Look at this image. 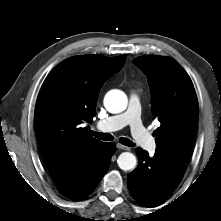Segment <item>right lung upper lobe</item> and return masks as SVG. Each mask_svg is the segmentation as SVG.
<instances>
[{
	"instance_id": "cb5924a9",
	"label": "right lung upper lobe",
	"mask_w": 221,
	"mask_h": 221,
	"mask_svg": "<svg viewBox=\"0 0 221 221\" xmlns=\"http://www.w3.org/2000/svg\"><path fill=\"white\" fill-rule=\"evenodd\" d=\"M126 55L75 56L58 64L38 94L34 125L38 146L48 170L95 156L104 143L93 138L84 122L91 123L105 80L124 65Z\"/></svg>"
}]
</instances>
